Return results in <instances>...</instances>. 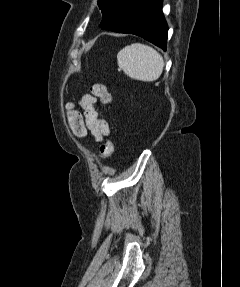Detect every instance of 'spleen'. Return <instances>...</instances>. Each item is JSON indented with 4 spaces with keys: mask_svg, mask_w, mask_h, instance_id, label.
<instances>
[{
    "mask_svg": "<svg viewBox=\"0 0 240 287\" xmlns=\"http://www.w3.org/2000/svg\"><path fill=\"white\" fill-rule=\"evenodd\" d=\"M120 69L132 79L152 82L157 80L164 68L163 57L152 47L132 43L117 54Z\"/></svg>",
    "mask_w": 240,
    "mask_h": 287,
    "instance_id": "3e777b00",
    "label": "spleen"
}]
</instances>
